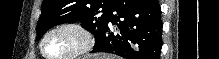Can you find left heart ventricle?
Returning a JSON list of instances; mask_svg holds the SVG:
<instances>
[{"label": "left heart ventricle", "instance_id": "b2bd125f", "mask_svg": "<svg viewBox=\"0 0 219 59\" xmlns=\"http://www.w3.org/2000/svg\"><path fill=\"white\" fill-rule=\"evenodd\" d=\"M81 45V37L72 30H60L51 34L44 50L51 57H63L74 52Z\"/></svg>", "mask_w": 219, "mask_h": 59}]
</instances>
